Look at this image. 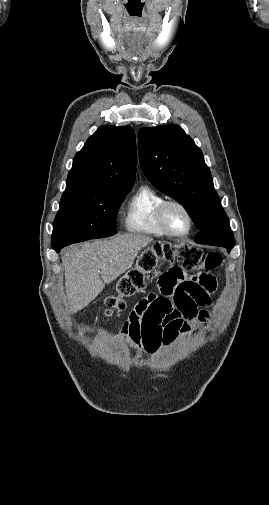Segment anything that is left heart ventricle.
I'll use <instances>...</instances> for the list:
<instances>
[{"label": "left heart ventricle", "instance_id": "left-heart-ventricle-1", "mask_svg": "<svg viewBox=\"0 0 269 505\" xmlns=\"http://www.w3.org/2000/svg\"><path fill=\"white\" fill-rule=\"evenodd\" d=\"M165 221L168 227L176 233H184L189 227L185 212L178 206L171 205L165 211Z\"/></svg>", "mask_w": 269, "mask_h": 505}]
</instances>
